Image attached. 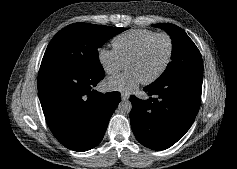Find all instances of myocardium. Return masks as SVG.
<instances>
[{
	"mask_svg": "<svg viewBox=\"0 0 237 169\" xmlns=\"http://www.w3.org/2000/svg\"><path fill=\"white\" fill-rule=\"evenodd\" d=\"M157 37H164L167 39L168 44H169V50H168V54H167V58L164 62V64L162 65V67L160 68V70L154 74L153 76H151L150 78L141 81L142 84L144 85H148L151 83H154L155 81H157L160 77H162V75L166 72V70L168 69L170 62L172 60V56H173V52H174V43L173 40L171 38V36L165 32H160V33H156L150 37H148L140 46L139 48L129 56V58L127 59V61L125 62V67L128 66V64L137 59L138 57H140L142 55V53L144 52V50L146 49V47L148 46V44L154 40Z\"/></svg>",
	"mask_w": 237,
	"mask_h": 169,
	"instance_id": "myocardium-1",
	"label": "myocardium"
}]
</instances>
